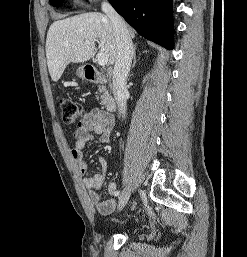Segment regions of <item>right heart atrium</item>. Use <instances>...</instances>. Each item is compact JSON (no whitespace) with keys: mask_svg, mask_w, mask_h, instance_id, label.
I'll list each match as a JSON object with an SVG mask.
<instances>
[{"mask_svg":"<svg viewBox=\"0 0 247 257\" xmlns=\"http://www.w3.org/2000/svg\"><path fill=\"white\" fill-rule=\"evenodd\" d=\"M77 1H79V0H77ZM89 2H93V1H96V0H88Z\"/></svg>","mask_w":247,"mask_h":257,"instance_id":"d8ad5b80","label":"right heart atrium"}]
</instances>
